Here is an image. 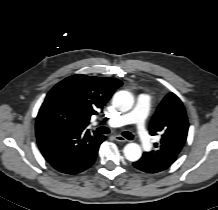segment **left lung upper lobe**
Wrapping results in <instances>:
<instances>
[{"label":"left lung upper lobe","instance_id":"obj_1","mask_svg":"<svg viewBox=\"0 0 218 210\" xmlns=\"http://www.w3.org/2000/svg\"><path fill=\"white\" fill-rule=\"evenodd\" d=\"M188 120L185 108L174 94H167L158 106L150 123V134H160L159 144L154 152L158 158L176 160L182 150L188 133Z\"/></svg>","mask_w":218,"mask_h":210}]
</instances>
